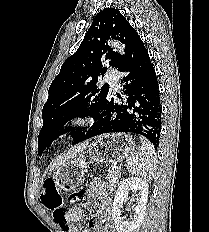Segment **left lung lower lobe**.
Segmentation results:
<instances>
[{
    "instance_id": "0a47b994",
    "label": "left lung lower lobe",
    "mask_w": 209,
    "mask_h": 232,
    "mask_svg": "<svg viewBox=\"0 0 209 232\" xmlns=\"http://www.w3.org/2000/svg\"><path fill=\"white\" fill-rule=\"evenodd\" d=\"M118 70L125 96L118 104L109 98L95 124L84 140L105 134L130 132L146 137L155 148L161 133V101L159 83L144 43L139 38ZM119 98H122L118 95Z\"/></svg>"
}]
</instances>
